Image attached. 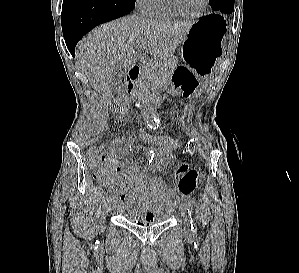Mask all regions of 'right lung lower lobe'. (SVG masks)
I'll return each instance as SVG.
<instances>
[{
    "mask_svg": "<svg viewBox=\"0 0 299 273\" xmlns=\"http://www.w3.org/2000/svg\"><path fill=\"white\" fill-rule=\"evenodd\" d=\"M135 0H63L61 24L71 55L77 42L95 26L128 14Z\"/></svg>",
    "mask_w": 299,
    "mask_h": 273,
    "instance_id": "right-lung-lower-lobe-1",
    "label": "right lung lower lobe"
}]
</instances>
